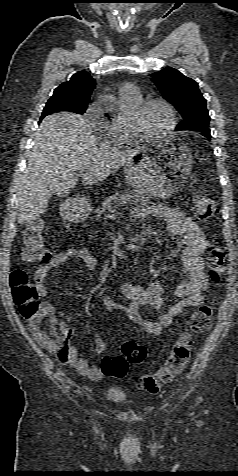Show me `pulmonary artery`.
Masks as SVG:
<instances>
[{"label": "pulmonary artery", "mask_w": 238, "mask_h": 476, "mask_svg": "<svg viewBox=\"0 0 238 476\" xmlns=\"http://www.w3.org/2000/svg\"><path fill=\"white\" fill-rule=\"evenodd\" d=\"M120 93L124 95H129V96L140 95L138 87L131 83L124 84L120 89Z\"/></svg>", "instance_id": "e3ab8cb5"}]
</instances>
